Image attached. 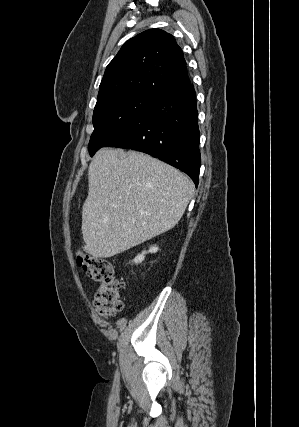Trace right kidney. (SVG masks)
I'll return each instance as SVG.
<instances>
[{
	"mask_svg": "<svg viewBox=\"0 0 299 427\" xmlns=\"http://www.w3.org/2000/svg\"><path fill=\"white\" fill-rule=\"evenodd\" d=\"M158 251V247L157 246H152L150 247L149 251H143L141 254L137 255L133 262L135 264L141 263L144 259H145V254L147 253H156Z\"/></svg>",
	"mask_w": 299,
	"mask_h": 427,
	"instance_id": "right-kidney-1",
	"label": "right kidney"
}]
</instances>
